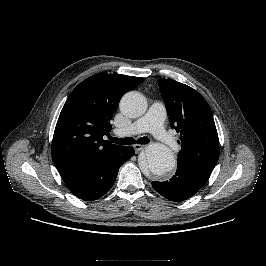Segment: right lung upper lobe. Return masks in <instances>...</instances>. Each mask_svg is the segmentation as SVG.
<instances>
[{
  "instance_id": "1",
  "label": "right lung upper lobe",
  "mask_w": 266,
  "mask_h": 266,
  "mask_svg": "<svg viewBox=\"0 0 266 266\" xmlns=\"http://www.w3.org/2000/svg\"><path fill=\"white\" fill-rule=\"evenodd\" d=\"M142 77L96 74L81 82L69 95L58 118L52 160L57 170L112 153L121 146L103 136L121 97L143 82Z\"/></svg>"
}]
</instances>
